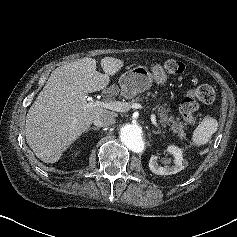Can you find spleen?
Returning <instances> with one entry per match:
<instances>
[{"mask_svg":"<svg viewBox=\"0 0 237 237\" xmlns=\"http://www.w3.org/2000/svg\"><path fill=\"white\" fill-rule=\"evenodd\" d=\"M218 122L214 118H205L197 126L192 135V144L202 146L208 143L211 136L217 131Z\"/></svg>","mask_w":237,"mask_h":237,"instance_id":"obj_1","label":"spleen"}]
</instances>
